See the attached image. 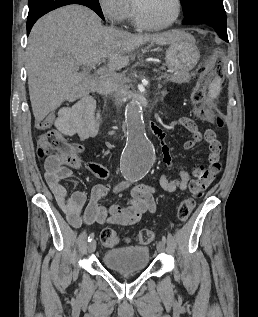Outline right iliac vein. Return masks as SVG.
<instances>
[{"label": "right iliac vein", "mask_w": 258, "mask_h": 317, "mask_svg": "<svg viewBox=\"0 0 258 317\" xmlns=\"http://www.w3.org/2000/svg\"><path fill=\"white\" fill-rule=\"evenodd\" d=\"M97 246V240L96 239H91L90 242L88 243V253L89 254H94L95 253V249Z\"/></svg>", "instance_id": "1"}]
</instances>
